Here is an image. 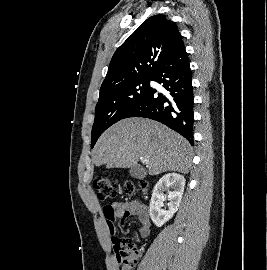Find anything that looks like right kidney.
<instances>
[{
    "label": "right kidney",
    "mask_w": 267,
    "mask_h": 270,
    "mask_svg": "<svg viewBox=\"0 0 267 270\" xmlns=\"http://www.w3.org/2000/svg\"><path fill=\"white\" fill-rule=\"evenodd\" d=\"M185 187V178L177 173H168L156 183L151 201L150 217L157 227L163 226L178 210ZM168 191L169 210L162 209L164 192Z\"/></svg>",
    "instance_id": "1"
}]
</instances>
